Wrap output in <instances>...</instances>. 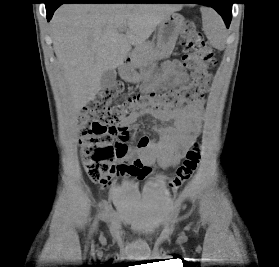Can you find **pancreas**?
Returning <instances> with one entry per match:
<instances>
[{
    "mask_svg": "<svg viewBox=\"0 0 279 267\" xmlns=\"http://www.w3.org/2000/svg\"><path fill=\"white\" fill-rule=\"evenodd\" d=\"M159 53L156 49H154V46L151 42L143 43L141 45H138L133 51H132V58L134 65L138 66L144 62L155 60L159 58Z\"/></svg>",
    "mask_w": 279,
    "mask_h": 267,
    "instance_id": "1",
    "label": "pancreas"
}]
</instances>
